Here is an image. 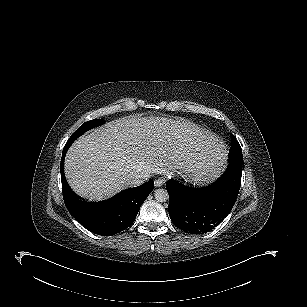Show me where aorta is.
Masks as SVG:
<instances>
[{"instance_id": "762f6f07", "label": "aorta", "mask_w": 307, "mask_h": 307, "mask_svg": "<svg viewBox=\"0 0 307 307\" xmlns=\"http://www.w3.org/2000/svg\"><path fill=\"white\" fill-rule=\"evenodd\" d=\"M154 197L157 202H167L169 199V193L166 189L159 188L155 190Z\"/></svg>"}]
</instances>
